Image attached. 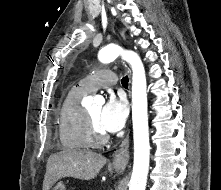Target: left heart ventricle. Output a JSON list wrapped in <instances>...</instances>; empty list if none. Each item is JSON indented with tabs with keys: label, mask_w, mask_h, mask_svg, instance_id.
I'll return each instance as SVG.
<instances>
[{
	"label": "left heart ventricle",
	"mask_w": 221,
	"mask_h": 190,
	"mask_svg": "<svg viewBox=\"0 0 221 190\" xmlns=\"http://www.w3.org/2000/svg\"><path fill=\"white\" fill-rule=\"evenodd\" d=\"M101 110H102L101 105H94L88 110V112H89L90 117L94 123L95 128L98 131L103 132V130L100 128V125H99Z\"/></svg>",
	"instance_id": "left-heart-ventricle-1"
}]
</instances>
